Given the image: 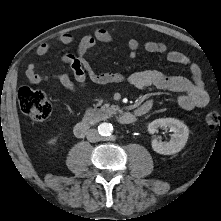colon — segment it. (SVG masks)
I'll use <instances>...</instances> for the list:
<instances>
[{
	"instance_id": "1",
	"label": "colon",
	"mask_w": 221,
	"mask_h": 221,
	"mask_svg": "<svg viewBox=\"0 0 221 221\" xmlns=\"http://www.w3.org/2000/svg\"><path fill=\"white\" fill-rule=\"evenodd\" d=\"M18 104L20 110L36 122L46 120L52 111L51 102L46 95L28 87L19 89ZM205 121L209 127L221 125V115L216 111H211L206 115Z\"/></svg>"
}]
</instances>
